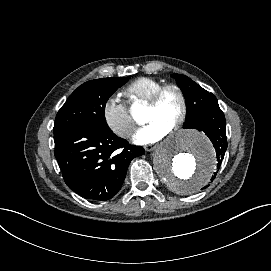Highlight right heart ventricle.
I'll use <instances>...</instances> for the list:
<instances>
[{
  "label": "right heart ventricle",
  "instance_id": "obj_1",
  "mask_svg": "<svg viewBox=\"0 0 271 271\" xmlns=\"http://www.w3.org/2000/svg\"><path fill=\"white\" fill-rule=\"evenodd\" d=\"M162 84V81L153 77H140L125 87L124 92L131 98L134 104H148L153 94Z\"/></svg>",
  "mask_w": 271,
  "mask_h": 271
}]
</instances>
